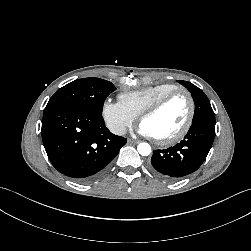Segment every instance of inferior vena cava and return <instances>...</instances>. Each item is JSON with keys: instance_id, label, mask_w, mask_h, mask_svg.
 Returning a JSON list of instances; mask_svg holds the SVG:
<instances>
[{"instance_id": "602c4592", "label": "inferior vena cava", "mask_w": 251, "mask_h": 251, "mask_svg": "<svg viewBox=\"0 0 251 251\" xmlns=\"http://www.w3.org/2000/svg\"><path fill=\"white\" fill-rule=\"evenodd\" d=\"M111 132L116 135L123 136L126 134L127 130L124 126H116L111 129Z\"/></svg>"}]
</instances>
